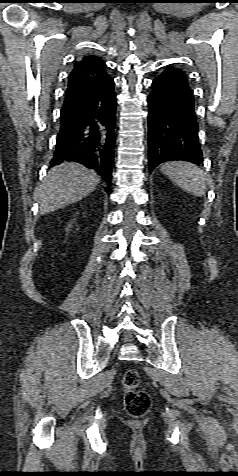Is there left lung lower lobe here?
<instances>
[{
    "mask_svg": "<svg viewBox=\"0 0 238 476\" xmlns=\"http://www.w3.org/2000/svg\"><path fill=\"white\" fill-rule=\"evenodd\" d=\"M148 96L149 170L176 160L201 163L193 92L183 77L167 67L152 81Z\"/></svg>",
    "mask_w": 238,
    "mask_h": 476,
    "instance_id": "left-lung-lower-lobe-1",
    "label": "left lung lower lobe"
}]
</instances>
